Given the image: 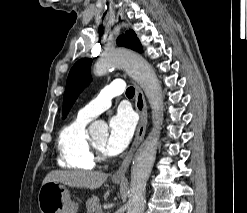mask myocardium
<instances>
[{"label":"myocardium","mask_w":247,"mask_h":213,"mask_svg":"<svg viewBox=\"0 0 247 213\" xmlns=\"http://www.w3.org/2000/svg\"><path fill=\"white\" fill-rule=\"evenodd\" d=\"M89 149L92 158L96 162H104L109 159V155L105 152H103L94 142L91 138H89Z\"/></svg>","instance_id":"1"}]
</instances>
